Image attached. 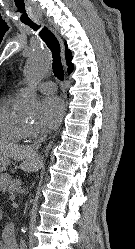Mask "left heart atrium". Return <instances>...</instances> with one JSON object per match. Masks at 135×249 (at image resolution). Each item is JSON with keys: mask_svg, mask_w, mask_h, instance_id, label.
Wrapping results in <instances>:
<instances>
[{"mask_svg": "<svg viewBox=\"0 0 135 249\" xmlns=\"http://www.w3.org/2000/svg\"><path fill=\"white\" fill-rule=\"evenodd\" d=\"M64 111V103L59 97H47L40 107L42 125L49 129L56 128L63 118Z\"/></svg>", "mask_w": 135, "mask_h": 249, "instance_id": "left-heart-atrium-1", "label": "left heart atrium"}]
</instances>
